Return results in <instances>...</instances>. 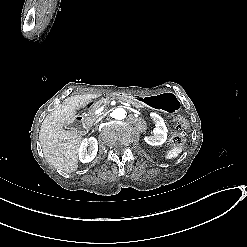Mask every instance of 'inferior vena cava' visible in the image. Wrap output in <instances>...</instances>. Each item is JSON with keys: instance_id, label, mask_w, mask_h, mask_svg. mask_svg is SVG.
I'll list each match as a JSON object with an SVG mask.
<instances>
[{"instance_id": "602c4592", "label": "inferior vena cava", "mask_w": 247, "mask_h": 247, "mask_svg": "<svg viewBox=\"0 0 247 247\" xmlns=\"http://www.w3.org/2000/svg\"><path fill=\"white\" fill-rule=\"evenodd\" d=\"M102 118L103 116L99 117L96 122H99L100 120H102Z\"/></svg>"}]
</instances>
